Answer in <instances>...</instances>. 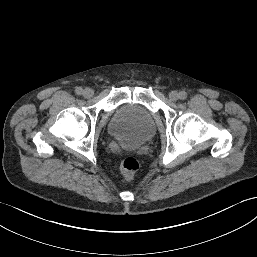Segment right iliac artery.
Masks as SVG:
<instances>
[{"label": "right iliac artery", "instance_id": "1", "mask_svg": "<svg viewBox=\"0 0 257 257\" xmlns=\"http://www.w3.org/2000/svg\"><path fill=\"white\" fill-rule=\"evenodd\" d=\"M75 92L77 95H81L83 93V89L78 87V88H76Z\"/></svg>", "mask_w": 257, "mask_h": 257}]
</instances>
